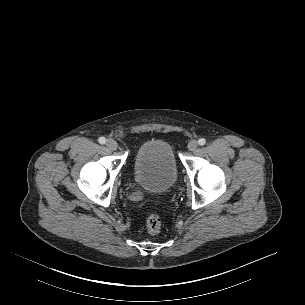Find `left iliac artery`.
<instances>
[{
	"instance_id": "44dca946",
	"label": "left iliac artery",
	"mask_w": 305,
	"mask_h": 305,
	"mask_svg": "<svg viewBox=\"0 0 305 305\" xmlns=\"http://www.w3.org/2000/svg\"><path fill=\"white\" fill-rule=\"evenodd\" d=\"M205 143H206V140L204 138H200L198 140V144L201 145V146L205 145Z\"/></svg>"
}]
</instances>
